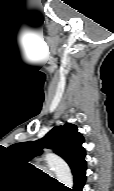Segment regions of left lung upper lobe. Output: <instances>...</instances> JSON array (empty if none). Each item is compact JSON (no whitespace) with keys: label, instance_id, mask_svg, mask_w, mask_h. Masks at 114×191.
<instances>
[{"label":"left lung upper lobe","instance_id":"1","mask_svg":"<svg viewBox=\"0 0 114 191\" xmlns=\"http://www.w3.org/2000/svg\"><path fill=\"white\" fill-rule=\"evenodd\" d=\"M83 136L77 127L67 123L54 127L42 139L11 145L9 150L18 159L28 163L33 157L42 153L43 148L53 149L70 166L72 172L85 162V149L82 147Z\"/></svg>","mask_w":114,"mask_h":191}]
</instances>
